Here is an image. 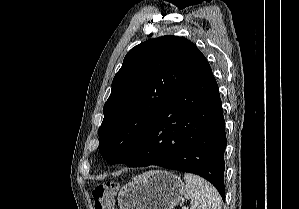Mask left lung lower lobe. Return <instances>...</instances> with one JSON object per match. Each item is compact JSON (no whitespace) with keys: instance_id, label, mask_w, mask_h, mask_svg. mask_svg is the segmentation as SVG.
<instances>
[{"instance_id":"obj_1","label":"left lung lower lobe","mask_w":299,"mask_h":209,"mask_svg":"<svg viewBox=\"0 0 299 209\" xmlns=\"http://www.w3.org/2000/svg\"><path fill=\"white\" fill-rule=\"evenodd\" d=\"M225 121L209 64L167 100L127 167L157 165L211 182L225 199Z\"/></svg>"}]
</instances>
